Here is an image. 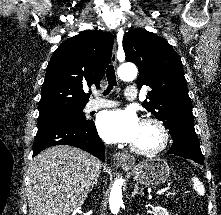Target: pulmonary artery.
Returning a JSON list of instances; mask_svg holds the SVG:
<instances>
[{
	"label": "pulmonary artery",
	"mask_w": 221,
	"mask_h": 215,
	"mask_svg": "<svg viewBox=\"0 0 221 215\" xmlns=\"http://www.w3.org/2000/svg\"><path fill=\"white\" fill-rule=\"evenodd\" d=\"M125 96L128 100H134L137 97V89L135 86H128L125 90ZM117 103L107 99H94L88 103V110H98L101 108H108L116 106Z\"/></svg>",
	"instance_id": "obj_1"
}]
</instances>
